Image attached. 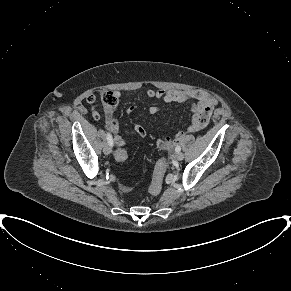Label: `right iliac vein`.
I'll list each match as a JSON object with an SVG mask.
<instances>
[{
  "mask_svg": "<svg viewBox=\"0 0 291 291\" xmlns=\"http://www.w3.org/2000/svg\"><path fill=\"white\" fill-rule=\"evenodd\" d=\"M103 152L106 155H109L111 153V146L109 144H106L103 148Z\"/></svg>",
  "mask_w": 291,
  "mask_h": 291,
  "instance_id": "right-iliac-vein-1",
  "label": "right iliac vein"
}]
</instances>
